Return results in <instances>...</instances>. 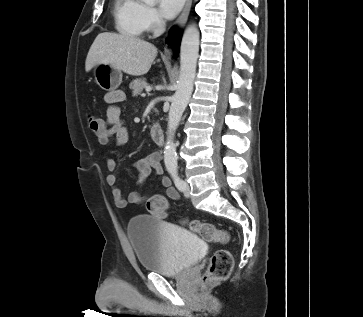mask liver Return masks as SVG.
Returning a JSON list of instances; mask_svg holds the SVG:
<instances>
[{"instance_id": "1", "label": "liver", "mask_w": 363, "mask_h": 317, "mask_svg": "<svg viewBox=\"0 0 363 317\" xmlns=\"http://www.w3.org/2000/svg\"><path fill=\"white\" fill-rule=\"evenodd\" d=\"M157 56V48L138 37L116 33H100L91 45L85 70L97 64H110L132 76L146 74Z\"/></svg>"}]
</instances>
